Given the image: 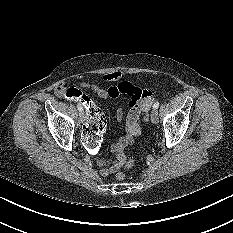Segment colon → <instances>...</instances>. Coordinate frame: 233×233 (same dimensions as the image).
Segmentation results:
<instances>
[{"instance_id":"5ec220e1","label":"colon","mask_w":233,"mask_h":233,"mask_svg":"<svg viewBox=\"0 0 233 233\" xmlns=\"http://www.w3.org/2000/svg\"><path fill=\"white\" fill-rule=\"evenodd\" d=\"M63 96L68 101H74L80 106H85L89 118L88 123L85 125L83 141L88 154H98L106 129V119L104 114L80 90L69 87L64 91ZM143 119L145 121L148 120V111L143 113ZM116 159L117 163L125 168H131L135 165V161L133 159H127L123 153L116 154ZM117 178L122 180L125 178V174L120 172L117 174Z\"/></svg>"}]
</instances>
